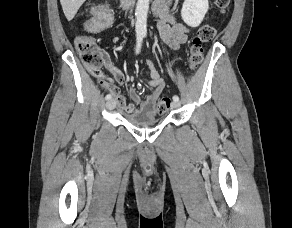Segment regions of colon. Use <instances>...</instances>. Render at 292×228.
<instances>
[{"instance_id":"5ec220e1","label":"colon","mask_w":292,"mask_h":228,"mask_svg":"<svg viewBox=\"0 0 292 228\" xmlns=\"http://www.w3.org/2000/svg\"><path fill=\"white\" fill-rule=\"evenodd\" d=\"M215 4L221 13H225L230 5V0H215ZM92 13L96 15L97 9ZM112 23V15L105 12L99 19L91 21L87 25L89 31H100L107 28ZM216 35V29L211 25L201 26L191 41L189 50V68L196 70L204 59L203 44L211 41ZM76 49L81 61L86 69L95 77L101 78V67L104 63V53L98 47L95 39L91 36L82 35L76 39ZM171 100L169 97H162L158 102V111L164 112L170 108Z\"/></svg>"}]
</instances>
